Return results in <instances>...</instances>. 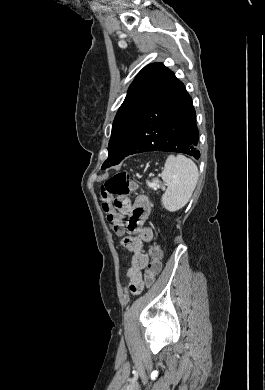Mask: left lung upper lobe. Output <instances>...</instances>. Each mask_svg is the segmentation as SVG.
<instances>
[{"label": "left lung upper lobe", "mask_w": 265, "mask_h": 390, "mask_svg": "<svg viewBox=\"0 0 265 390\" xmlns=\"http://www.w3.org/2000/svg\"><path fill=\"white\" fill-rule=\"evenodd\" d=\"M170 74L171 71L162 63H153L144 67L135 77L115 116L108 145V159L103 163L102 169L123 160L136 136L144 109Z\"/></svg>", "instance_id": "5c2ea615"}]
</instances>
